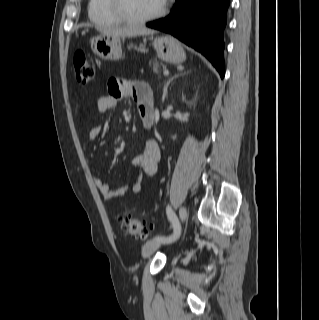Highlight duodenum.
Instances as JSON below:
<instances>
[{"label":"duodenum","instance_id":"1","mask_svg":"<svg viewBox=\"0 0 319 320\" xmlns=\"http://www.w3.org/2000/svg\"><path fill=\"white\" fill-rule=\"evenodd\" d=\"M139 114L144 126L150 127L153 124L155 118L154 109H142Z\"/></svg>","mask_w":319,"mask_h":320}]
</instances>
